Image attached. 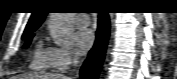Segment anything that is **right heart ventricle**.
<instances>
[{"label": "right heart ventricle", "instance_id": "1", "mask_svg": "<svg viewBox=\"0 0 177 79\" xmlns=\"http://www.w3.org/2000/svg\"><path fill=\"white\" fill-rule=\"evenodd\" d=\"M50 67L52 66L49 48H44L42 44L39 42L35 46L32 60L30 63V68L35 71L45 72Z\"/></svg>", "mask_w": 177, "mask_h": 79}]
</instances>
